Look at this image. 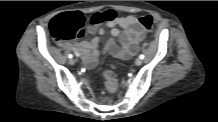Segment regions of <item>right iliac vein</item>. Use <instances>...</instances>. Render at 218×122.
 Returning <instances> with one entry per match:
<instances>
[{"instance_id": "right-iliac-vein-1", "label": "right iliac vein", "mask_w": 218, "mask_h": 122, "mask_svg": "<svg viewBox=\"0 0 218 122\" xmlns=\"http://www.w3.org/2000/svg\"><path fill=\"white\" fill-rule=\"evenodd\" d=\"M69 64L74 65L75 64V60L74 59H70L69 60Z\"/></svg>"}]
</instances>
